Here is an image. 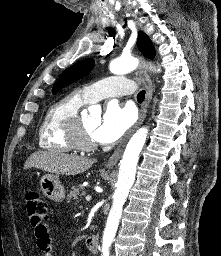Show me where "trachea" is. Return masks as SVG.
<instances>
[{"label":"trachea","mask_w":221,"mask_h":256,"mask_svg":"<svg viewBox=\"0 0 221 256\" xmlns=\"http://www.w3.org/2000/svg\"><path fill=\"white\" fill-rule=\"evenodd\" d=\"M144 98H145V90H142L137 95V101L142 103L144 101Z\"/></svg>","instance_id":"obj_1"}]
</instances>
